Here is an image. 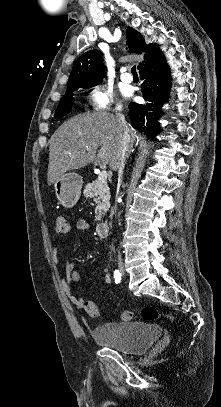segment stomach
<instances>
[{"label": "stomach", "mask_w": 221, "mask_h": 407, "mask_svg": "<svg viewBox=\"0 0 221 407\" xmlns=\"http://www.w3.org/2000/svg\"><path fill=\"white\" fill-rule=\"evenodd\" d=\"M83 185L82 177L75 172L64 173L54 183L55 194L65 208L73 207L79 200Z\"/></svg>", "instance_id": "obj_1"}]
</instances>
